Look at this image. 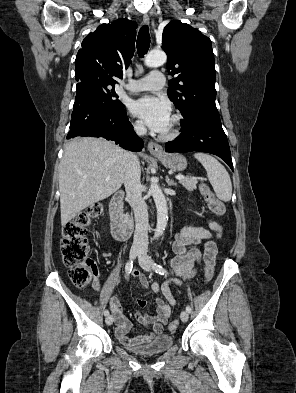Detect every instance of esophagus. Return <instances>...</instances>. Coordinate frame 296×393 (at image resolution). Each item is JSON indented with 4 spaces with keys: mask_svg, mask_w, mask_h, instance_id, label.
<instances>
[{
    "mask_svg": "<svg viewBox=\"0 0 296 393\" xmlns=\"http://www.w3.org/2000/svg\"><path fill=\"white\" fill-rule=\"evenodd\" d=\"M149 21V16L147 14H144L143 23L147 25L149 24ZM148 150L152 155H160L163 152L162 146L152 141L148 143Z\"/></svg>",
    "mask_w": 296,
    "mask_h": 393,
    "instance_id": "1",
    "label": "esophagus"
}]
</instances>
